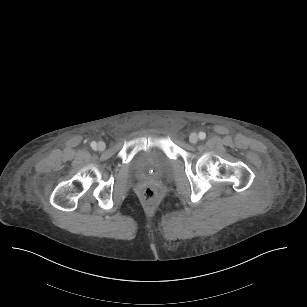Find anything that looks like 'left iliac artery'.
Wrapping results in <instances>:
<instances>
[{
    "mask_svg": "<svg viewBox=\"0 0 307 307\" xmlns=\"http://www.w3.org/2000/svg\"><path fill=\"white\" fill-rule=\"evenodd\" d=\"M205 137H206V134H205L204 132H200V133H199V138H200L201 140L205 139Z\"/></svg>",
    "mask_w": 307,
    "mask_h": 307,
    "instance_id": "44dca946",
    "label": "left iliac artery"
}]
</instances>
